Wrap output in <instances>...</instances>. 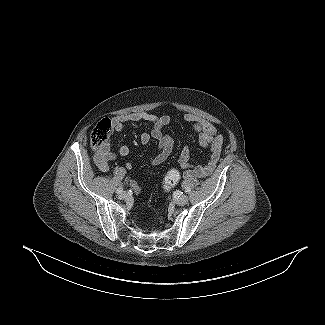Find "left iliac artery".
I'll return each mask as SVG.
<instances>
[{"instance_id":"44dca946","label":"left iliac artery","mask_w":325,"mask_h":325,"mask_svg":"<svg viewBox=\"0 0 325 325\" xmlns=\"http://www.w3.org/2000/svg\"><path fill=\"white\" fill-rule=\"evenodd\" d=\"M190 190L189 189H185V192H189Z\"/></svg>"}]
</instances>
